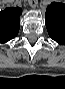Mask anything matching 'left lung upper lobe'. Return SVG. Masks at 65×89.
<instances>
[{"label":"left lung upper lobe","mask_w":65,"mask_h":89,"mask_svg":"<svg viewBox=\"0 0 65 89\" xmlns=\"http://www.w3.org/2000/svg\"><path fill=\"white\" fill-rule=\"evenodd\" d=\"M49 36L59 44H65V4L53 2L45 13Z\"/></svg>","instance_id":"obj_1"}]
</instances>
